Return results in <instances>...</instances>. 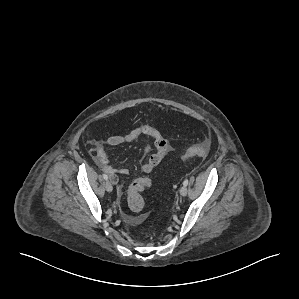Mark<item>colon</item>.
Returning <instances> with one entry per match:
<instances>
[{
	"mask_svg": "<svg viewBox=\"0 0 299 299\" xmlns=\"http://www.w3.org/2000/svg\"><path fill=\"white\" fill-rule=\"evenodd\" d=\"M210 146L208 143L197 144L189 147L183 154L182 159L188 160L195 157H205L209 153ZM152 184V179L149 177H140L135 179L128 189V205L131 210L138 212L144 207V200L141 196V192ZM144 220V216L137 219V223Z\"/></svg>",
	"mask_w": 299,
	"mask_h": 299,
	"instance_id": "5ec220e1",
	"label": "colon"
}]
</instances>
